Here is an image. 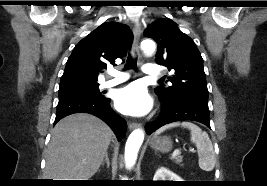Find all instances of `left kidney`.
I'll list each match as a JSON object with an SVG mask.
<instances>
[{
    "label": "left kidney",
    "mask_w": 267,
    "mask_h": 186,
    "mask_svg": "<svg viewBox=\"0 0 267 186\" xmlns=\"http://www.w3.org/2000/svg\"><path fill=\"white\" fill-rule=\"evenodd\" d=\"M153 181H183L181 177L166 169L165 167L159 168L154 177Z\"/></svg>",
    "instance_id": "left-kidney-1"
}]
</instances>
